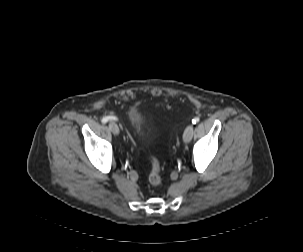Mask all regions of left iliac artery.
I'll use <instances>...</instances> for the list:
<instances>
[{"mask_svg":"<svg viewBox=\"0 0 303 252\" xmlns=\"http://www.w3.org/2000/svg\"><path fill=\"white\" fill-rule=\"evenodd\" d=\"M199 122V118L198 117H195L192 119V124H196Z\"/></svg>","mask_w":303,"mask_h":252,"instance_id":"1","label":"left iliac artery"}]
</instances>
